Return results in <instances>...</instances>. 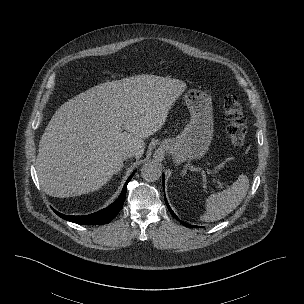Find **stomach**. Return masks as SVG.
Wrapping results in <instances>:
<instances>
[{
	"label": "stomach",
	"instance_id": "1",
	"mask_svg": "<svg viewBox=\"0 0 304 304\" xmlns=\"http://www.w3.org/2000/svg\"><path fill=\"white\" fill-rule=\"evenodd\" d=\"M191 118L176 138L161 142V148L172 155L176 163L187 159L201 158L208 151L213 137V115L211 97L197 89L184 95Z\"/></svg>",
	"mask_w": 304,
	"mask_h": 304
}]
</instances>
